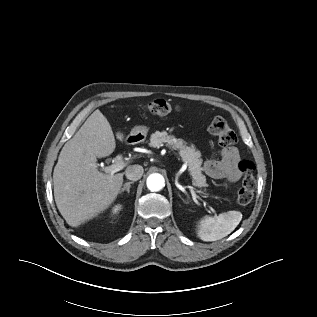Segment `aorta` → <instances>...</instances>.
<instances>
[{"label":"aorta","instance_id":"aorta-1","mask_svg":"<svg viewBox=\"0 0 317 317\" xmlns=\"http://www.w3.org/2000/svg\"><path fill=\"white\" fill-rule=\"evenodd\" d=\"M147 188L152 192L160 191L165 186L164 177L161 174H150L146 181Z\"/></svg>","mask_w":317,"mask_h":317}]
</instances>
